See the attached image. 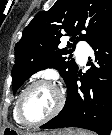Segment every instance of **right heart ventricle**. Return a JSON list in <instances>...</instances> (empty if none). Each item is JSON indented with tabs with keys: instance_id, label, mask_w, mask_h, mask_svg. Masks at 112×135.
Listing matches in <instances>:
<instances>
[{
	"instance_id": "obj_1",
	"label": "right heart ventricle",
	"mask_w": 112,
	"mask_h": 135,
	"mask_svg": "<svg viewBox=\"0 0 112 135\" xmlns=\"http://www.w3.org/2000/svg\"><path fill=\"white\" fill-rule=\"evenodd\" d=\"M12 118H13V121H14L17 125H19V126H26L25 124H23V123L19 120V118H18V116H17V99H16V101L14 102L13 107H12Z\"/></svg>"
}]
</instances>
